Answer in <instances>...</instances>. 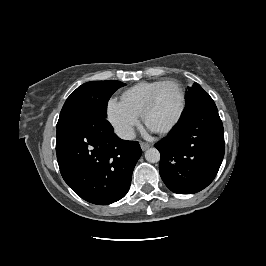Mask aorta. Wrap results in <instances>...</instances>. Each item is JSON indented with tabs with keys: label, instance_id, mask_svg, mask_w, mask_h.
<instances>
[{
	"label": "aorta",
	"instance_id": "aorta-1",
	"mask_svg": "<svg viewBox=\"0 0 266 266\" xmlns=\"http://www.w3.org/2000/svg\"><path fill=\"white\" fill-rule=\"evenodd\" d=\"M145 159L150 163H157L160 160V153L156 148H149L145 152Z\"/></svg>",
	"mask_w": 266,
	"mask_h": 266
}]
</instances>
